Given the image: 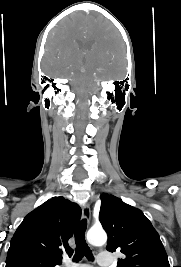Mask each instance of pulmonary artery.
Wrapping results in <instances>:
<instances>
[{
    "instance_id": "e3ab8cb5",
    "label": "pulmonary artery",
    "mask_w": 181,
    "mask_h": 267,
    "mask_svg": "<svg viewBox=\"0 0 181 267\" xmlns=\"http://www.w3.org/2000/svg\"><path fill=\"white\" fill-rule=\"evenodd\" d=\"M97 263L100 267H110L112 264V258L105 253H100L97 258ZM67 267H90V266L88 264H68Z\"/></svg>"
}]
</instances>
